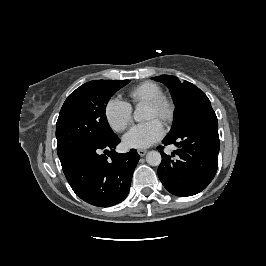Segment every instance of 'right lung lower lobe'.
<instances>
[{
	"instance_id": "obj_1",
	"label": "right lung lower lobe",
	"mask_w": 266,
	"mask_h": 266,
	"mask_svg": "<svg viewBox=\"0 0 266 266\" xmlns=\"http://www.w3.org/2000/svg\"><path fill=\"white\" fill-rule=\"evenodd\" d=\"M119 143L120 139L115 135L92 148L79 149L61 160L71 188L87 203L109 207L120 203L128 195L140 156L135 149L126 154L115 152Z\"/></svg>"
}]
</instances>
